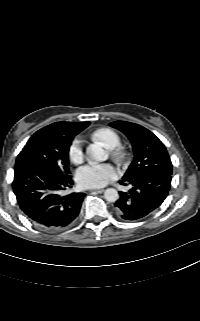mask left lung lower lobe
Listing matches in <instances>:
<instances>
[{"instance_id": "1", "label": "left lung lower lobe", "mask_w": 200, "mask_h": 321, "mask_svg": "<svg viewBox=\"0 0 200 321\" xmlns=\"http://www.w3.org/2000/svg\"><path fill=\"white\" fill-rule=\"evenodd\" d=\"M172 176L165 173H147L123 178L122 185L130 184L128 192H121L115 212L119 219L134 221L158 208L168 195Z\"/></svg>"}]
</instances>
